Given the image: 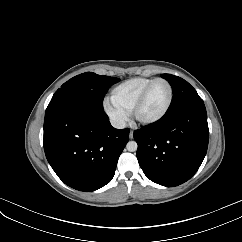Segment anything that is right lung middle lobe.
<instances>
[{"label":"right lung middle lobe","mask_w":242,"mask_h":242,"mask_svg":"<svg viewBox=\"0 0 242 242\" xmlns=\"http://www.w3.org/2000/svg\"><path fill=\"white\" fill-rule=\"evenodd\" d=\"M119 81V78L100 76L93 72L77 75L55 92L45 114L68 106H89L103 110L106 92L110 86Z\"/></svg>","instance_id":"obj_1"}]
</instances>
